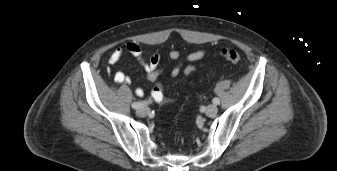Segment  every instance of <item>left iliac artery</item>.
<instances>
[{"instance_id":"44dca946","label":"left iliac artery","mask_w":337,"mask_h":171,"mask_svg":"<svg viewBox=\"0 0 337 171\" xmlns=\"http://www.w3.org/2000/svg\"><path fill=\"white\" fill-rule=\"evenodd\" d=\"M212 102H213V104H215V105L220 104L219 98H214V99L212 100Z\"/></svg>"}]
</instances>
